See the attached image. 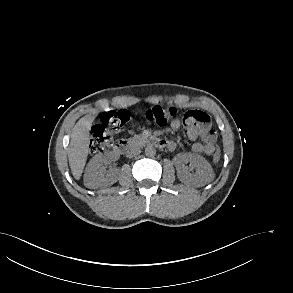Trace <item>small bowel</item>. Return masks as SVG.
<instances>
[{"instance_id": "obj_1", "label": "small bowel", "mask_w": 293, "mask_h": 293, "mask_svg": "<svg viewBox=\"0 0 293 293\" xmlns=\"http://www.w3.org/2000/svg\"><path fill=\"white\" fill-rule=\"evenodd\" d=\"M198 113V121L191 123H185L187 136L190 140H197L200 138L202 142H196L192 145V151L194 153L212 154L215 149L216 133L210 126V119L206 113L200 110H194ZM181 126L180 119H174L170 123V128L174 131L178 130ZM167 143V149L170 151L175 150L176 143L174 141H165Z\"/></svg>"}]
</instances>
